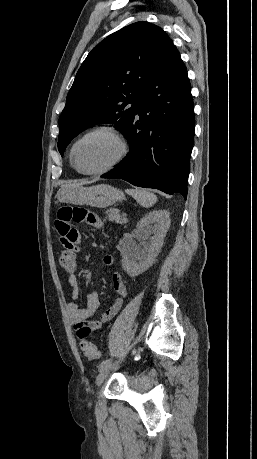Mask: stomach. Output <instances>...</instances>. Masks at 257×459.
<instances>
[{
    "mask_svg": "<svg viewBox=\"0 0 257 459\" xmlns=\"http://www.w3.org/2000/svg\"><path fill=\"white\" fill-rule=\"evenodd\" d=\"M57 198L63 203L105 208L123 200L125 197L121 190L108 184H99L90 187L80 185L61 188Z\"/></svg>",
    "mask_w": 257,
    "mask_h": 459,
    "instance_id": "1",
    "label": "stomach"
}]
</instances>
